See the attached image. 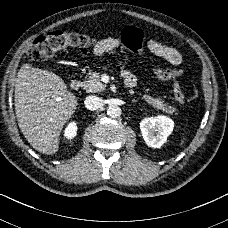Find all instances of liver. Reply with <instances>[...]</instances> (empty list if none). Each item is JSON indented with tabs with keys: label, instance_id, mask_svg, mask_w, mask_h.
Wrapping results in <instances>:
<instances>
[{
	"label": "liver",
	"instance_id": "obj_1",
	"mask_svg": "<svg viewBox=\"0 0 228 228\" xmlns=\"http://www.w3.org/2000/svg\"><path fill=\"white\" fill-rule=\"evenodd\" d=\"M14 97L18 126L26 140L43 154L56 153L60 132L78 104L76 96L56 74L24 64Z\"/></svg>",
	"mask_w": 228,
	"mask_h": 228
}]
</instances>
